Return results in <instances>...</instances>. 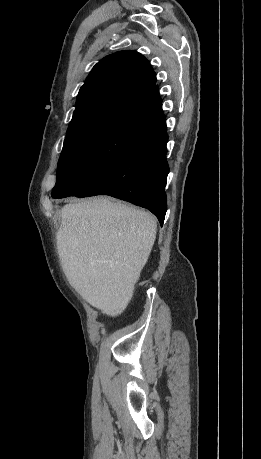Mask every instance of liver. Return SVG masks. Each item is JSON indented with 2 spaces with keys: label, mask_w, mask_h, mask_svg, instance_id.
Listing matches in <instances>:
<instances>
[{
  "label": "liver",
  "mask_w": 261,
  "mask_h": 459,
  "mask_svg": "<svg viewBox=\"0 0 261 459\" xmlns=\"http://www.w3.org/2000/svg\"><path fill=\"white\" fill-rule=\"evenodd\" d=\"M61 217L57 250L68 280L102 313L120 314L153 248L155 218L106 197L67 204Z\"/></svg>",
  "instance_id": "1"
}]
</instances>
